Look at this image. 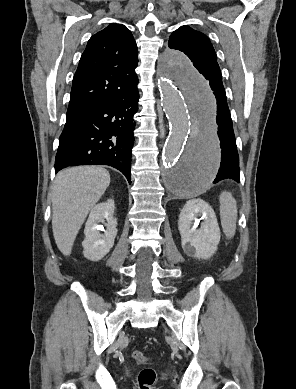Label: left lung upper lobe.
<instances>
[{
    "label": "left lung upper lobe",
    "instance_id": "1",
    "mask_svg": "<svg viewBox=\"0 0 296 389\" xmlns=\"http://www.w3.org/2000/svg\"><path fill=\"white\" fill-rule=\"evenodd\" d=\"M168 45L184 52L205 78L206 75L220 74L215 50L202 32L187 25L181 26L171 34Z\"/></svg>",
    "mask_w": 296,
    "mask_h": 389
}]
</instances>
